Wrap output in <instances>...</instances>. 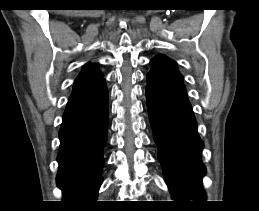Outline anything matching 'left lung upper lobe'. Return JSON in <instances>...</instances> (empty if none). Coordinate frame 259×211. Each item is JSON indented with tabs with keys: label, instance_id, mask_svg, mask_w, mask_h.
I'll return each instance as SVG.
<instances>
[{
	"label": "left lung upper lobe",
	"instance_id": "1",
	"mask_svg": "<svg viewBox=\"0 0 259 211\" xmlns=\"http://www.w3.org/2000/svg\"><path fill=\"white\" fill-rule=\"evenodd\" d=\"M152 68L147 74L153 78L174 84H183V76L177 69V64L164 55H157L151 60Z\"/></svg>",
	"mask_w": 259,
	"mask_h": 211
}]
</instances>
